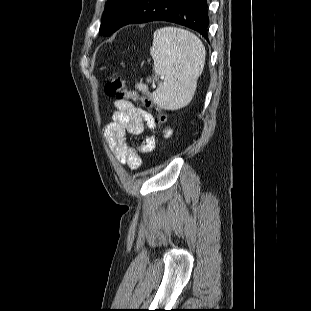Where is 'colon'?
Returning <instances> with one entry per match:
<instances>
[{
	"label": "colon",
	"mask_w": 311,
	"mask_h": 311,
	"mask_svg": "<svg viewBox=\"0 0 311 311\" xmlns=\"http://www.w3.org/2000/svg\"><path fill=\"white\" fill-rule=\"evenodd\" d=\"M106 94L117 100H133L140 102L146 109H154L156 111L155 121L165 126L168 120L167 115L161 108L156 106L148 97L139 95L135 90L126 87L124 80L117 73H113L105 86ZM167 141V133L164 132L160 145H164Z\"/></svg>",
	"instance_id": "colon-1"
}]
</instances>
